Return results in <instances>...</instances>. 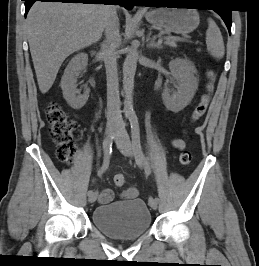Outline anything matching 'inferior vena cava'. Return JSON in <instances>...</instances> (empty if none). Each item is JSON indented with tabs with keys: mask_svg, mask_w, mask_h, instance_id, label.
I'll use <instances>...</instances> for the list:
<instances>
[{
	"mask_svg": "<svg viewBox=\"0 0 259 266\" xmlns=\"http://www.w3.org/2000/svg\"><path fill=\"white\" fill-rule=\"evenodd\" d=\"M106 39L102 44L105 55V67L107 75V118L110 122L121 123L122 116L120 110L119 82L117 58L121 44V36L119 33V22L116 7L111 6L106 23H105Z\"/></svg>",
	"mask_w": 259,
	"mask_h": 266,
	"instance_id": "1",
	"label": "inferior vena cava"
}]
</instances>
